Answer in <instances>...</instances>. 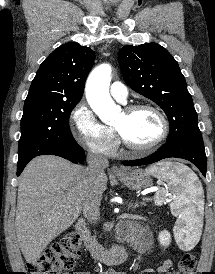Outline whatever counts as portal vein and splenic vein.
<instances>
[{
    "instance_id": "obj_1",
    "label": "portal vein and splenic vein",
    "mask_w": 215,
    "mask_h": 274,
    "mask_svg": "<svg viewBox=\"0 0 215 274\" xmlns=\"http://www.w3.org/2000/svg\"><path fill=\"white\" fill-rule=\"evenodd\" d=\"M155 191V190H154ZM143 200H150L149 198L143 199Z\"/></svg>"
}]
</instances>
